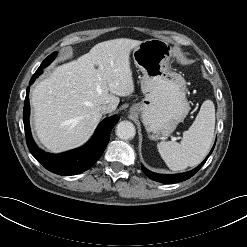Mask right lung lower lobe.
Here are the masks:
<instances>
[{"mask_svg": "<svg viewBox=\"0 0 247 247\" xmlns=\"http://www.w3.org/2000/svg\"><path fill=\"white\" fill-rule=\"evenodd\" d=\"M37 77L32 76L30 85ZM29 87L27 88L23 121L26 135V142L31 154L40 162L47 170L58 175H74L82 173L92 167L103 154L109 139L110 133L114 125L119 121L118 116L106 118L98 126L93 138L82 148L68 151L62 154H47L40 150L35 144L29 127Z\"/></svg>", "mask_w": 247, "mask_h": 247, "instance_id": "obj_1", "label": "right lung lower lobe"}]
</instances>
